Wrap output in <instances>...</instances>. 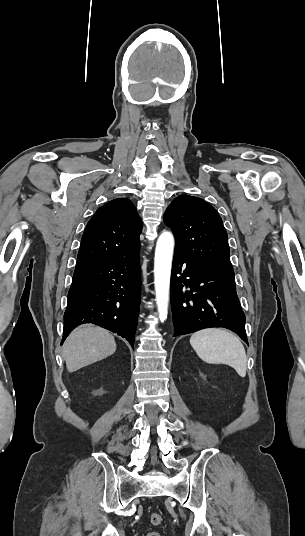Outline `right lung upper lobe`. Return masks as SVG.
Listing matches in <instances>:
<instances>
[{
	"mask_svg": "<svg viewBox=\"0 0 305 536\" xmlns=\"http://www.w3.org/2000/svg\"><path fill=\"white\" fill-rule=\"evenodd\" d=\"M142 222L127 198L100 207L82 236L76 269L131 256L140 251Z\"/></svg>",
	"mask_w": 305,
	"mask_h": 536,
	"instance_id": "cb5924a9",
	"label": "right lung upper lobe"
}]
</instances>
